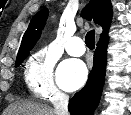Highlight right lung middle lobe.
I'll return each instance as SVG.
<instances>
[{"label":"right lung middle lobe","mask_w":131,"mask_h":115,"mask_svg":"<svg viewBox=\"0 0 131 115\" xmlns=\"http://www.w3.org/2000/svg\"><path fill=\"white\" fill-rule=\"evenodd\" d=\"M30 50L31 49L27 50L22 55H20V56L17 57L16 63H15V67H18L19 65H21V63L24 61V59L29 55V51Z\"/></svg>","instance_id":"1"}]
</instances>
